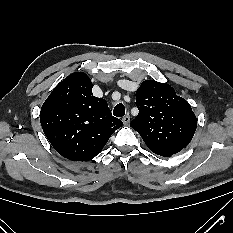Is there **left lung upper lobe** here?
Returning <instances> with one entry per match:
<instances>
[{
	"label": "left lung upper lobe",
	"mask_w": 233,
	"mask_h": 233,
	"mask_svg": "<svg viewBox=\"0 0 233 233\" xmlns=\"http://www.w3.org/2000/svg\"><path fill=\"white\" fill-rule=\"evenodd\" d=\"M139 113L130 123L148 148L163 157L181 151L191 141L197 119L188 102L167 83L146 80L136 92Z\"/></svg>",
	"instance_id": "left-lung-upper-lobe-1"
}]
</instances>
